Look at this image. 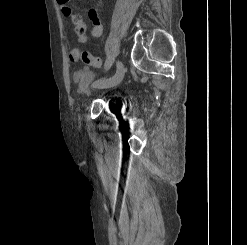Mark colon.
I'll return each mask as SVG.
<instances>
[{
    "label": "colon",
    "mask_w": 247,
    "mask_h": 245,
    "mask_svg": "<svg viewBox=\"0 0 247 245\" xmlns=\"http://www.w3.org/2000/svg\"><path fill=\"white\" fill-rule=\"evenodd\" d=\"M71 21L75 26V32L81 42H85L87 39L86 36V25L83 20V17L80 14H72Z\"/></svg>",
    "instance_id": "1"
}]
</instances>
